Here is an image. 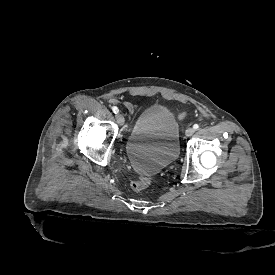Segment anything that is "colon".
Wrapping results in <instances>:
<instances>
[{"label": "colon", "instance_id": "1", "mask_svg": "<svg viewBox=\"0 0 275 275\" xmlns=\"http://www.w3.org/2000/svg\"><path fill=\"white\" fill-rule=\"evenodd\" d=\"M189 113L187 111L180 112L178 117L180 119L187 118ZM150 185V179L147 176H140L131 183V188L135 192H140L148 188Z\"/></svg>", "mask_w": 275, "mask_h": 275}]
</instances>
